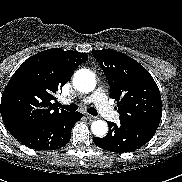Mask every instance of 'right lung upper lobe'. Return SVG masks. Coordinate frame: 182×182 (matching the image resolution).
<instances>
[{
	"label": "right lung upper lobe",
	"mask_w": 182,
	"mask_h": 182,
	"mask_svg": "<svg viewBox=\"0 0 182 182\" xmlns=\"http://www.w3.org/2000/svg\"><path fill=\"white\" fill-rule=\"evenodd\" d=\"M87 60L76 51L52 48L27 59L9 80L1 99V114L14 136L69 112L58 108L56 94Z\"/></svg>",
	"instance_id": "cb5924a9"
}]
</instances>
